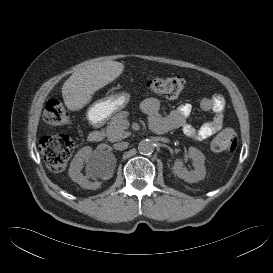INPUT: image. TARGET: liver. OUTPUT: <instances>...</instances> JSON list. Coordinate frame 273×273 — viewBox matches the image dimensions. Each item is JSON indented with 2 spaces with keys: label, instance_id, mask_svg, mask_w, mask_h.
Returning a JSON list of instances; mask_svg holds the SVG:
<instances>
[{
  "label": "liver",
  "instance_id": "obj_1",
  "mask_svg": "<svg viewBox=\"0 0 273 273\" xmlns=\"http://www.w3.org/2000/svg\"><path fill=\"white\" fill-rule=\"evenodd\" d=\"M124 64L117 61L96 62L75 71L62 86L66 107L77 111L87 105L92 95L117 79L124 71Z\"/></svg>",
  "mask_w": 273,
  "mask_h": 273
}]
</instances>
